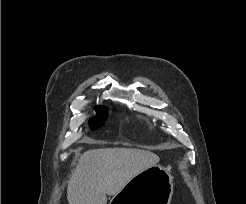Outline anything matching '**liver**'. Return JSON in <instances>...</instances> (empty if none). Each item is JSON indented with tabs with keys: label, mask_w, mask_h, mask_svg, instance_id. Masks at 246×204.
Masks as SVG:
<instances>
[{
	"label": "liver",
	"mask_w": 246,
	"mask_h": 204,
	"mask_svg": "<svg viewBox=\"0 0 246 204\" xmlns=\"http://www.w3.org/2000/svg\"><path fill=\"white\" fill-rule=\"evenodd\" d=\"M151 151L134 148H101L84 152L69 180V204H106L137 174L156 165Z\"/></svg>",
	"instance_id": "1"
}]
</instances>
